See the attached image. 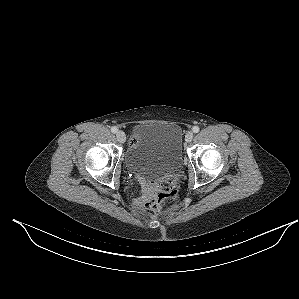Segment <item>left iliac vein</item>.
Segmentation results:
<instances>
[{
  "mask_svg": "<svg viewBox=\"0 0 299 299\" xmlns=\"http://www.w3.org/2000/svg\"><path fill=\"white\" fill-rule=\"evenodd\" d=\"M193 139V133L191 131L187 132L185 135L186 142H191Z\"/></svg>",
  "mask_w": 299,
  "mask_h": 299,
  "instance_id": "obj_1",
  "label": "left iliac vein"
}]
</instances>
